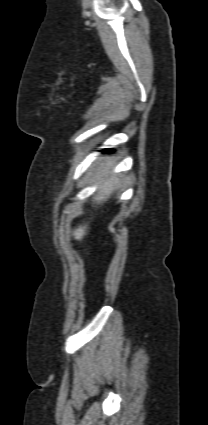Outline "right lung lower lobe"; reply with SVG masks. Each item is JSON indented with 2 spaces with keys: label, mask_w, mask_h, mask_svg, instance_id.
Masks as SVG:
<instances>
[{
  "label": "right lung lower lobe",
  "mask_w": 208,
  "mask_h": 425,
  "mask_svg": "<svg viewBox=\"0 0 208 425\" xmlns=\"http://www.w3.org/2000/svg\"><path fill=\"white\" fill-rule=\"evenodd\" d=\"M103 152H112L113 150L112 149H105V150H102Z\"/></svg>",
  "instance_id": "98d812e1"
}]
</instances>
